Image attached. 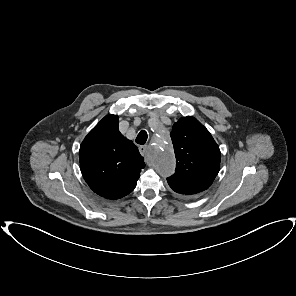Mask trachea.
Instances as JSON below:
<instances>
[{
  "label": "trachea",
  "instance_id": "obj_1",
  "mask_svg": "<svg viewBox=\"0 0 296 296\" xmlns=\"http://www.w3.org/2000/svg\"><path fill=\"white\" fill-rule=\"evenodd\" d=\"M147 138H148L147 132L145 130H141L137 135L135 142L137 144L143 145L146 143Z\"/></svg>",
  "mask_w": 296,
  "mask_h": 296
}]
</instances>
